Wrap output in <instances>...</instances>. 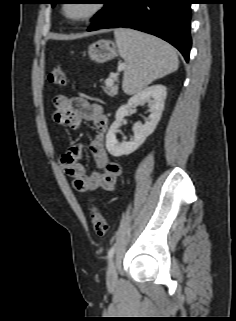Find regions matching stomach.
Instances as JSON below:
<instances>
[{"label":"stomach","mask_w":236,"mask_h":321,"mask_svg":"<svg viewBox=\"0 0 236 321\" xmlns=\"http://www.w3.org/2000/svg\"><path fill=\"white\" fill-rule=\"evenodd\" d=\"M118 48L113 41L98 40L88 47V55L90 59L97 63H104L112 60L118 55Z\"/></svg>","instance_id":"1"}]
</instances>
